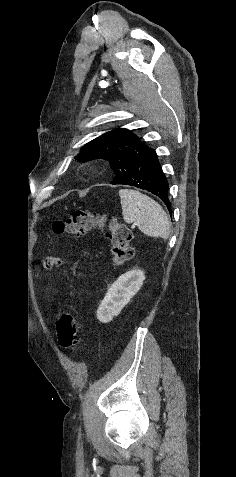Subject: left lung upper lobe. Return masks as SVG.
Here are the masks:
<instances>
[{
    "mask_svg": "<svg viewBox=\"0 0 236 477\" xmlns=\"http://www.w3.org/2000/svg\"><path fill=\"white\" fill-rule=\"evenodd\" d=\"M147 148L128 129L118 128L87 143L75 159L79 162L98 158L108 160L116 174L111 183L119 184L127 178L133 163Z\"/></svg>",
    "mask_w": 236,
    "mask_h": 477,
    "instance_id": "5c2ea615",
    "label": "left lung upper lobe"
}]
</instances>
